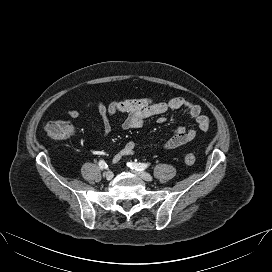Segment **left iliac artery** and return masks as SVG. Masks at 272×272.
Instances as JSON below:
<instances>
[{
	"instance_id": "44dca946",
	"label": "left iliac artery",
	"mask_w": 272,
	"mask_h": 272,
	"mask_svg": "<svg viewBox=\"0 0 272 272\" xmlns=\"http://www.w3.org/2000/svg\"><path fill=\"white\" fill-rule=\"evenodd\" d=\"M127 166H129L131 169H135L137 171H144L149 165L145 163H127Z\"/></svg>"
}]
</instances>
